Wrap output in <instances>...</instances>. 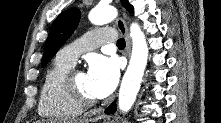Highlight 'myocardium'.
Masks as SVG:
<instances>
[{"label":"myocardium","instance_id":"f54148a6","mask_svg":"<svg viewBox=\"0 0 221 123\" xmlns=\"http://www.w3.org/2000/svg\"><path fill=\"white\" fill-rule=\"evenodd\" d=\"M79 72L78 70L71 69L65 75L64 88L69 97L82 108H90L97 104V99H92L84 95L77 87L74 76Z\"/></svg>","mask_w":221,"mask_h":123}]
</instances>
